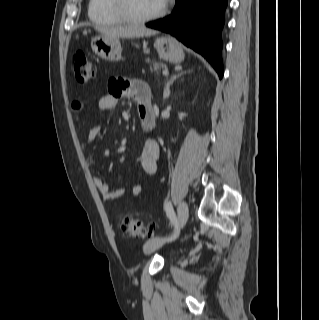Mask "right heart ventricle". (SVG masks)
I'll return each mask as SVG.
<instances>
[{"instance_id":"e07e8e85","label":"right heart ventricle","mask_w":319,"mask_h":320,"mask_svg":"<svg viewBox=\"0 0 319 320\" xmlns=\"http://www.w3.org/2000/svg\"><path fill=\"white\" fill-rule=\"evenodd\" d=\"M110 2V0H90L88 4V16L90 20L104 26L124 23V21L114 13Z\"/></svg>"}]
</instances>
